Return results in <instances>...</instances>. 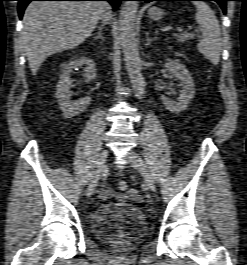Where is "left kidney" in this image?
Masks as SVG:
<instances>
[{"label": "left kidney", "instance_id": "1", "mask_svg": "<svg viewBox=\"0 0 247 265\" xmlns=\"http://www.w3.org/2000/svg\"><path fill=\"white\" fill-rule=\"evenodd\" d=\"M164 67L176 78L180 79L182 89L176 101L169 99L165 95L161 96V100L165 107L171 112L178 113L184 111L195 94L193 79L189 71L179 60L167 59Z\"/></svg>", "mask_w": 247, "mask_h": 265}]
</instances>
